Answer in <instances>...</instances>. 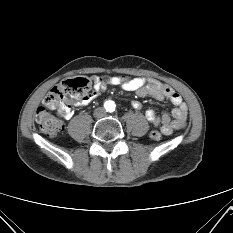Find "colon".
<instances>
[{
	"label": "colon",
	"instance_id": "obj_1",
	"mask_svg": "<svg viewBox=\"0 0 233 233\" xmlns=\"http://www.w3.org/2000/svg\"><path fill=\"white\" fill-rule=\"evenodd\" d=\"M110 77L102 79L107 81ZM122 82L127 81L125 76L119 77ZM92 94V86L89 79L85 77L71 78L55 86L45 97L43 105L37 109L36 122L41 133L47 136H55L63 130V124L51 110L62 106H71L80 101L88 99ZM152 140L161 139V133L152 130L149 133Z\"/></svg>",
	"mask_w": 233,
	"mask_h": 233
}]
</instances>
